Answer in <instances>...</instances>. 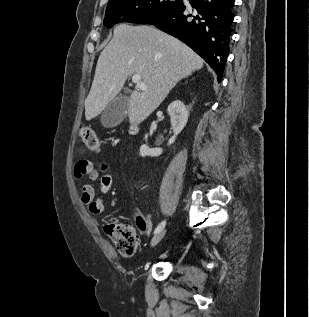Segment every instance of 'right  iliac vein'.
Instances as JSON below:
<instances>
[{"instance_id":"63e3f726","label":"right iliac vein","mask_w":309,"mask_h":317,"mask_svg":"<svg viewBox=\"0 0 309 317\" xmlns=\"http://www.w3.org/2000/svg\"><path fill=\"white\" fill-rule=\"evenodd\" d=\"M166 233V230H161L160 232H158L151 240L150 242V246L154 247L156 246L164 237Z\"/></svg>"}]
</instances>
